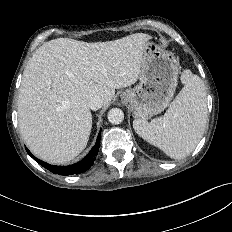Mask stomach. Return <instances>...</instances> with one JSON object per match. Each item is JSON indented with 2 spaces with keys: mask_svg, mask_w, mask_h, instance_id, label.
I'll return each mask as SVG.
<instances>
[{
  "mask_svg": "<svg viewBox=\"0 0 232 232\" xmlns=\"http://www.w3.org/2000/svg\"><path fill=\"white\" fill-rule=\"evenodd\" d=\"M179 65L173 54L148 41L143 51L139 83L122 93L133 117L146 120L170 103L178 84Z\"/></svg>",
  "mask_w": 232,
  "mask_h": 232,
  "instance_id": "stomach-1",
  "label": "stomach"
}]
</instances>
